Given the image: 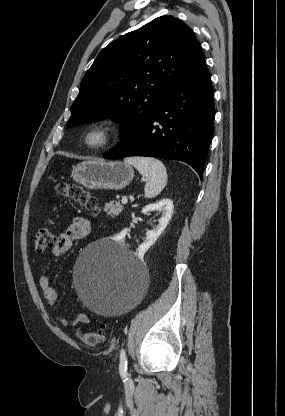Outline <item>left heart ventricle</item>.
I'll return each instance as SVG.
<instances>
[{
    "mask_svg": "<svg viewBox=\"0 0 285 416\" xmlns=\"http://www.w3.org/2000/svg\"><path fill=\"white\" fill-rule=\"evenodd\" d=\"M95 141H96V138L95 137L91 139V142H95Z\"/></svg>",
    "mask_w": 285,
    "mask_h": 416,
    "instance_id": "1",
    "label": "left heart ventricle"
}]
</instances>
